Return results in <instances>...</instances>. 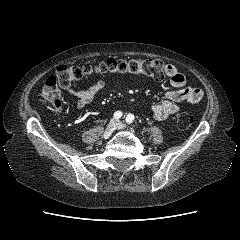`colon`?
<instances>
[{
	"instance_id": "1",
	"label": "colon",
	"mask_w": 240,
	"mask_h": 240,
	"mask_svg": "<svg viewBox=\"0 0 240 240\" xmlns=\"http://www.w3.org/2000/svg\"><path fill=\"white\" fill-rule=\"evenodd\" d=\"M135 74L161 81L166 77V65L158 59H115L83 65H61L55 75L49 77L40 93L41 103L51 110H57L61 106L60 89L68 88L84 78L101 75ZM177 125L181 129L189 128L193 123V117L188 113L177 116Z\"/></svg>"
}]
</instances>
